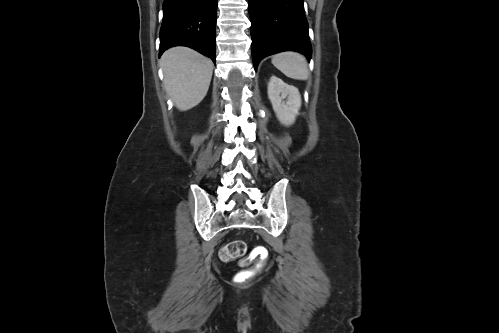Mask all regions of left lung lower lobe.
I'll return each mask as SVG.
<instances>
[{"mask_svg":"<svg viewBox=\"0 0 499 333\" xmlns=\"http://www.w3.org/2000/svg\"><path fill=\"white\" fill-rule=\"evenodd\" d=\"M303 1L248 0L255 70L263 58L283 51L300 52L310 60L312 49Z\"/></svg>","mask_w":499,"mask_h":333,"instance_id":"0a47b994","label":"left lung lower lobe"}]
</instances>
